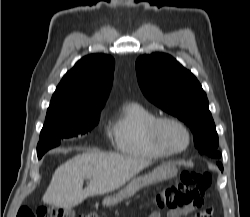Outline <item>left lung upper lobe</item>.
Listing matches in <instances>:
<instances>
[{
  "instance_id": "obj_1",
  "label": "left lung upper lobe",
  "mask_w": 250,
  "mask_h": 217,
  "mask_svg": "<svg viewBox=\"0 0 250 217\" xmlns=\"http://www.w3.org/2000/svg\"><path fill=\"white\" fill-rule=\"evenodd\" d=\"M136 70L146 98L190 127L199 153L221 157L208 99L196 77L164 53L139 57Z\"/></svg>"
}]
</instances>
